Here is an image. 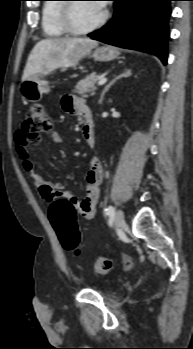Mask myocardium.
Here are the masks:
<instances>
[{"instance_id": "myocardium-1", "label": "myocardium", "mask_w": 193, "mask_h": 349, "mask_svg": "<svg viewBox=\"0 0 193 349\" xmlns=\"http://www.w3.org/2000/svg\"><path fill=\"white\" fill-rule=\"evenodd\" d=\"M67 1H75V0H67ZM75 4L76 2H66L62 4L60 7L59 23L62 29L67 34L74 35V36L88 34L102 27L108 19V12L104 10L101 17L94 24L86 28L78 29L74 26L73 19H72V8L74 7Z\"/></svg>"}]
</instances>
